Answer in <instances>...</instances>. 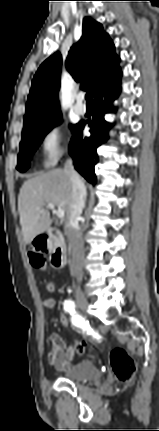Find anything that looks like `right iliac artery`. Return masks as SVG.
<instances>
[{
  "label": "right iliac artery",
  "mask_w": 159,
  "mask_h": 431,
  "mask_svg": "<svg viewBox=\"0 0 159 431\" xmlns=\"http://www.w3.org/2000/svg\"><path fill=\"white\" fill-rule=\"evenodd\" d=\"M75 307V303L72 300H66L64 302V310L72 315V323L77 327H81L89 331V325L85 323L79 315L76 314Z\"/></svg>",
  "instance_id": "1"
}]
</instances>
